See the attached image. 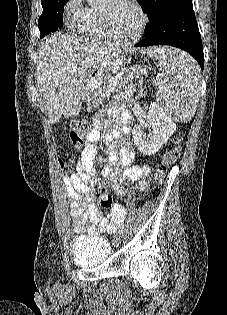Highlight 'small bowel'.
I'll return each mask as SVG.
<instances>
[{"label": "small bowel", "mask_w": 227, "mask_h": 315, "mask_svg": "<svg viewBox=\"0 0 227 315\" xmlns=\"http://www.w3.org/2000/svg\"><path fill=\"white\" fill-rule=\"evenodd\" d=\"M132 86L128 88L131 92ZM99 132L96 128L90 130L87 142L78 156L75 172L61 177L63 188L69 198V213L73 221V229L77 234L97 235L113 233L120 224H125L124 206L114 207L102 215L94 202L97 170L95 167L96 143ZM134 154L128 141L109 147L108 163L101 170L103 184H112L114 192L127 196L130 191L124 187L127 180L135 182L134 192H145L149 186L150 169L147 166L135 165ZM124 166L125 169H121Z\"/></svg>", "instance_id": "1"}]
</instances>
